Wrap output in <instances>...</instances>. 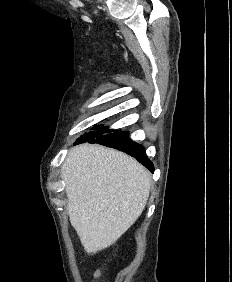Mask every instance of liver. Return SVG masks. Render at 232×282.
<instances>
[{
  "label": "liver",
  "mask_w": 232,
  "mask_h": 282,
  "mask_svg": "<svg viewBox=\"0 0 232 282\" xmlns=\"http://www.w3.org/2000/svg\"><path fill=\"white\" fill-rule=\"evenodd\" d=\"M71 225L89 254L114 244L143 212L151 175L134 158L81 144L62 166Z\"/></svg>",
  "instance_id": "liver-1"
}]
</instances>
